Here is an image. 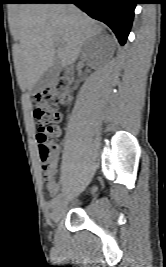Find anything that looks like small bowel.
<instances>
[{
  "label": "small bowel",
  "mask_w": 166,
  "mask_h": 267,
  "mask_svg": "<svg viewBox=\"0 0 166 267\" xmlns=\"http://www.w3.org/2000/svg\"><path fill=\"white\" fill-rule=\"evenodd\" d=\"M54 161H55V167H56L57 162H58V151L57 150L55 151ZM44 182L46 184V187H47L49 193L51 195L56 194L58 187H57V183H56V181L54 179V173L51 176H49V177H45L44 178Z\"/></svg>",
  "instance_id": "c3829d8e"
}]
</instances>
